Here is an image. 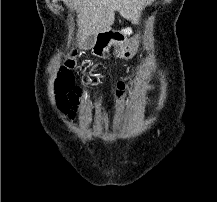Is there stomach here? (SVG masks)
I'll return each mask as SVG.
<instances>
[{
  "label": "stomach",
  "mask_w": 217,
  "mask_h": 202,
  "mask_svg": "<svg viewBox=\"0 0 217 202\" xmlns=\"http://www.w3.org/2000/svg\"><path fill=\"white\" fill-rule=\"evenodd\" d=\"M137 36L135 38H130V40H124L121 48H120V58L123 60H130L133 58L137 52V44L135 42Z\"/></svg>",
  "instance_id": "1"
}]
</instances>
